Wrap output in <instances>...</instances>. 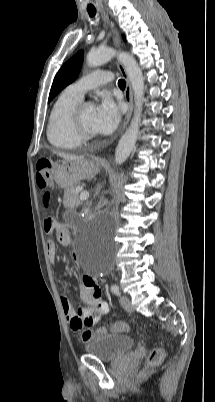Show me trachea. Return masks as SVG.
I'll list each match as a JSON object with an SVG mask.
<instances>
[{"instance_id": "obj_1", "label": "trachea", "mask_w": 215, "mask_h": 402, "mask_svg": "<svg viewBox=\"0 0 215 402\" xmlns=\"http://www.w3.org/2000/svg\"><path fill=\"white\" fill-rule=\"evenodd\" d=\"M88 13H89L90 17H94L95 14H96V10H95V9H88ZM118 86H119L120 88H125V86H126L125 80L120 79V80L118 81Z\"/></svg>"}]
</instances>
